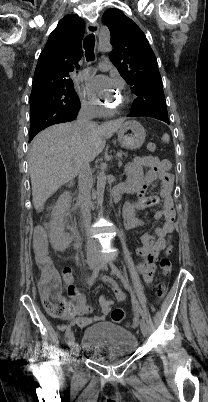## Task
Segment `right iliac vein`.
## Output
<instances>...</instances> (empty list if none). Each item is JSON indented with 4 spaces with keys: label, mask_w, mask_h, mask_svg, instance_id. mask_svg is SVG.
Here are the masks:
<instances>
[{
    "label": "right iliac vein",
    "mask_w": 208,
    "mask_h": 402,
    "mask_svg": "<svg viewBox=\"0 0 208 402\" xmlns=\"http://www.w3.org/2000/svg\"><path fill=\"white\" fill-rule=\"evenodd\" d=\"M88 266L90 270H94L96 268V265L98 263V260L95 257H90L87 260ZM68 345L70 347L71 353L75 351V337L74 333L70 332L69 338H68Z\"/></svg>",
    "instance_id": "1"
}]
</instances>
